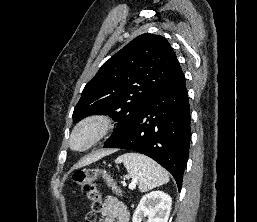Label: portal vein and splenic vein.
Returning a JSON list of instances; mask_svg holds the SVG:
<instances>
[{
    "label": "portal vein and splenic vein",
    "mask_w": 257,
    "mask_h": 222,
    "mask_svg": "<svg viewBox=\"0 0 257 222\" xmlns=\"http://www.w3.org/2000/svg\"><path fill=\"white\" fill-rule=\"evenodd\" d=\"M135 184L134 183H131V184H129V189H134L135 188Z\"/></svg>",
    "instance_id": "obj_1"
}]
</instances>
